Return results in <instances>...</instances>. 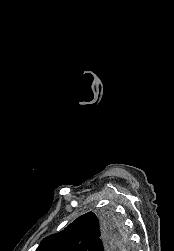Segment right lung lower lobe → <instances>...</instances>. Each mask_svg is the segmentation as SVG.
Wrapping results in <instances>:
<instances>
[{"label":"right lung lower lobe","instance_id":"right-lung-lower-lobe-1","mask_svg":"<svg viewBox=\"0 0 174 251\" xmlns=\"http://www.w3.org/2000/svg\"><path fill=\"white\" fill-rule=\"evenodd\" d=\"M101 233L102 234L100 242L95 247L94 251H99L101 248H104V251H118L114 250L112 248V245L116 241L118 235L121 234L119 226L115 223H112L111 221H108L103 217L101 224Z\"/></svg>","mask_w":174,"mask_h":251}]
</instances>
